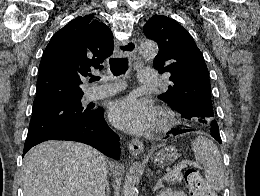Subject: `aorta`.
I'll list each match as a JSON object with an SVG mask.
<instances>
[{
    "label": "aorta",
    "instance_id": "aorta-1",
    "mask_svg": "<svg viewBox=\"0 0 260 196\" xmlns=\"http://www.w3.org/2000/svg\"><path fill=\"white\" fill-rule=\"evenodd\" d=\"M139 53L143 57L152 58L158 53V46L153 41L142 42L139 46ZM135 167L132 166L127 174V179L124 185L123 196H138V190L135 186L136 182Z\"/></svg>",
    "mask_w": 260,
    "mask_h": 196
}]
</instances>
